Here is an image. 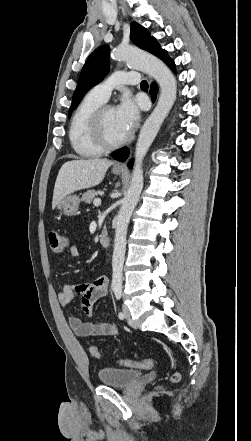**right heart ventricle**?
I'll use <instances>...</instances> for the list:
<instances>
[{
  "mask_svg": "<svg viewBox=\"0 0 251 441\" xmlns=\"http://www.w3.org/2000/svg\"><path fill=\"white\" fill-rule=\"evenodd\" d=\"M105 103V100L89 92L75 109L69 127V140L75 153L83 158L100 156L103 149L94 141L90 122L94 112Z\"/></svg>",
  "mask_w": 251,
  "mask_h": 441,
  "instance_id": "1",
  "label": "right heart ventricle"
}]
</instances>
